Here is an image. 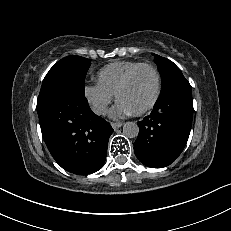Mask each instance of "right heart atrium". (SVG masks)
Segmentation results:
<instances>
[{
  "label": "right heart atrium",
  "mask_w": 231,
  "mask_h": 231,
  "mask_svg": "<svg viewBox=\"0 0 231 231\" xmlns=\"http://www.w3.org/2000/svg\"><path fill=\"white\" fill-rule=\"evenodd\" d=\"M83 93L92 110L98 115H104L113 100V94L98 83L86 84Z\"/></svg>",
  "instance_id": "right-heart-atrium-1"
}]
</instances>
